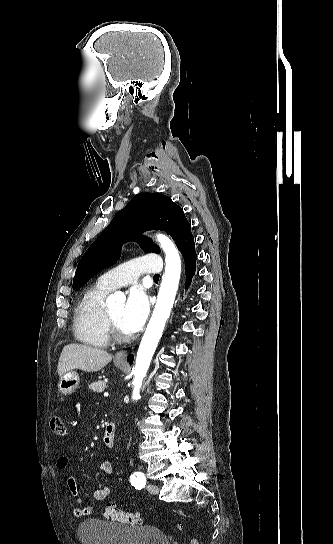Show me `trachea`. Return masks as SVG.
<instances>
[{
  "label": "trachea",
  "mask_w": 333,
  "mask_h": 544,
  "mask_svg": "<svg viewBox=\"0 0 333 544\" xmlns=\"http://www.w3.org/2000/svg\"><path fill=\"white\" fill-rule=\"evenodd\" d=\"M154 278H159V275L158 274L154 275Z\"/></svg>",
  "instance_id": "trachea-1"
}]
</instances>
